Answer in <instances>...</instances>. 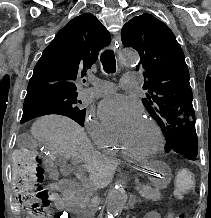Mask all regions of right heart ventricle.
Listing matches in <instances>:
<instances>
[{
	"label": "right heart ventricle",
	"instance_id": "right-heart-ventricle-1",
	"mask_svg": "<svg viewBox=\"0 0 211 218\" xmlns=\"http://www.w3.org/2000/svg\"><path fill=\"white\" fill-rule=\"evenodd\" d=\"M118 144L114 140L111 144L103 147L104 152L109 153V154H116L118 152Z\"/></svg>",
	"mask_w": 211,
	"mask_h": 218
}]
</instances>
